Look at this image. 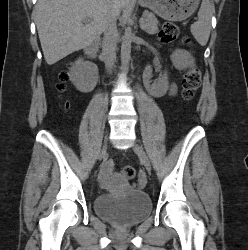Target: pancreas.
<instances>
[{"label": "pancreas", "mask_w": 248, "mask_h": 250, "mask_svg": "<svg viewBox=\"0 0 248 250\" xmlns=\"http://www.w3.org/2000/svg\"><path fill=\"white\" fill-rule=\"evenodd\" d=\"M143 19L144 22L140 24L141 29L150 35L155 34L158 31V23H159L155 15L150 12H145L143 14Z\"/></svg>", "instance_id": "pancreas-1"}]
</instances>
